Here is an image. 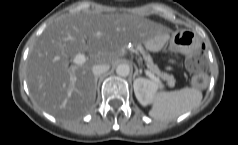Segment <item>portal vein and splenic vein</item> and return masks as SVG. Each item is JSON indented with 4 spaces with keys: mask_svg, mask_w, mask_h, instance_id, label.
<instances>
[{
    "mask_svg": "<svg viewBox=\"0 0 238 145\" xmlns=\"http://www.w3.org/2000/svg\"><path fill=\"white\" fill-rule=\"evenodd\" d=\"M87 58L84 54H78L75 56V58L73 59V63L75 65H82L86 62ZM146 75L149 76L151 79L155 80V81H160L151 71L146 70Z\"/></svg>",
    "mask_w": 238,
    "mask_h": 145,
    "instance_id": "obj_1",
    "label": "portal vein and splenic vein"
}]
</instances>
